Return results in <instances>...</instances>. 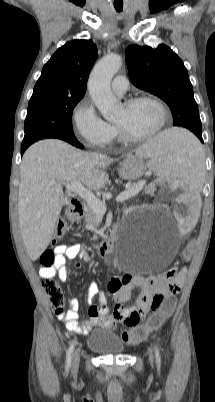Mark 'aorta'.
I'll return each instance as SVG.
<instances>
[{
	"mask_svg": "<svg viewBox=\"0 0 215 402\" xmlns=\"http://www.w3.org/2000/svg\"><path fill=\"white\" fill-rule=\"evenodd\" d=\"M121 66V56L109 54L97 62L89 76V94L106 120L115 118L120 109V103L112 93L110 83Z\"/></svg>",
	"mask_w": 215,
	"mask_h": 402,
	"instance_id": "aorta-1",
	"label": "aorta"
}]
</instances>
